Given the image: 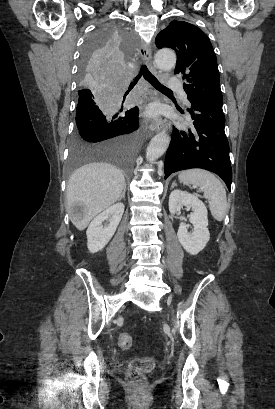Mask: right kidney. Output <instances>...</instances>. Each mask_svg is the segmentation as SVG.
Segmentation results:
<instances>
[{"label":"right kidney","instance_id":"right-kidney-1","mask_svg":"<svg viewBox=\"0 0 275 409\" xmlns=\"http://www.w3.org/2000/svg\"><path fill=\"white\" fill-rule=\"evenodd\" d=\"M124 213L123 202H116L90 223L87 235V247L90 253H98L104 249L105 245L112 239ZM104 221H109V225H103Z\"/></svg>","mask_w":275,"mask_h":409}]
</instances>
